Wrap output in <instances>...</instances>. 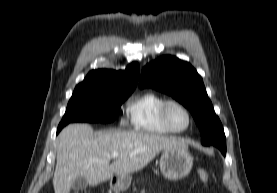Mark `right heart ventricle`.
Returning <instances> with one entry per match:
<instances>
[{
	"label": "right heart ventricle",
	"instance_id": "obj_1",
	"mask_svg": "<svg viewBox=\"0 0 277 193\" xmlns=\"http://www.w3.org/2000/svg\"><path fill=\"white\" fill-rule=\"evenodd\" d=\"M166 100L153 91L144 92L131 100L127 106V117L131 127L146 134H168L160 120V110Z\"/></svg>",
	"mask_w": 277,
	"mask_h": 193
}]
</instances>
